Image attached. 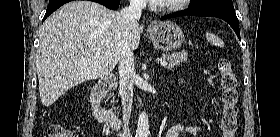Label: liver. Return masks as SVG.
<instances>
[{"label": "liver", "instance_id": "liver-1", "mask_svg": "<svg viewBox=\"0 0 280 137\" xmlns=\"http://www.w3.org/2000/svg\"><path fill=\"white\" fill-rule=\"evenodd\" d=\"M124 38L119 12L81 0L60 7L40 31L36 66L42 104L51 106L72 87L109 75L120 59ZM127 39L131 50L138 48V24Z\"/></svg>", "mask_w": 280, "mask_h": 137}]
</instances>
